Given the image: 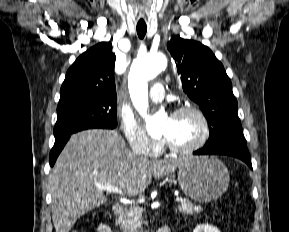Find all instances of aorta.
Here are the masks:
<instances>
[{
	"mask_svg": "<svg viewBox=\"0 0 289 232\" xmlns=\"http://www.w3.org/2000/svg\"><path fill=\"white\" fill-rule=\"evenodd\" d=\"M167 65L166 57L161 53H149L137 57L131 66L128 76V87L132 102L141 116L145 119L146 130L150 135L162 132L161 117L149 116L148 86L149 80L155 78Z\"/></svg>",
	"mask_w": 289,
	"mask_h": 232,
	"instance_id": "aorta-1",
	"label": "aorta"
}]
</instances>
